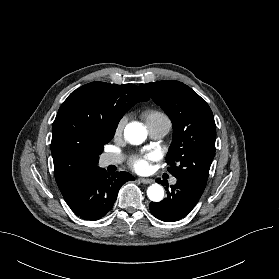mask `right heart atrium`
Returning a JSON list of instances; mask_svg holds the SVG:
<instances>
[{
  "label": "right heart atrium",
  "instance_id": "d8ad5b80",
  "mask_svg": "<svg viewBox=\"0 0 279 279\" xmlns=\"http://www.w3.org/2000/svg\"><path fill=\"white\" fill-rule=\"evenodd\" d=\"M126 122H127V118H126L125 116L121 117V118L117 121V123H116V125H115V130H114L115 135H120V134H122V132H123V130H124V127H125V125H126Z\"/></svg>",
  "mask_w": 279,
  "mask_h": 279
}]
</instances>
